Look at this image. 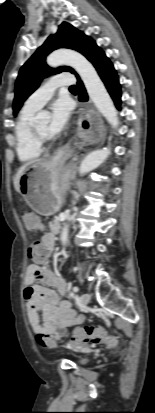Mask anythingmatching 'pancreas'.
<instances>
[{"mask_svg":"<svg viewBox=\"0 0 155 413\" xmlns=\"http://www.w3.org/2000/svg\"><path fill=\"white\" fill-rule=\"evenodd\" d=\"M59 220H60V219H59L58 217H55V218L53 219V221L49 224L51 230H52L54 233H57V232H58V227H59V225H60V221H59Z\"/></svg>","mask_w":155,"mask_h":413,"instance_id":"1","label":"pancreas"}]
</instances>
